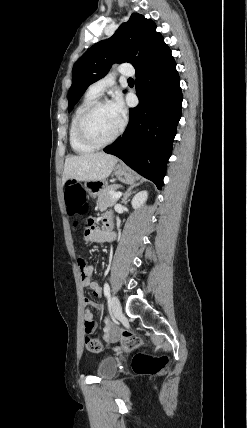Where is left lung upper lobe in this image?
Wrapping results in <instances>:
<instances>
[{"label":"left lung upper lobe","mask_w":247,"mask_h":428,"mask_svg":"<svg viewBox=\"0 0 247 428\" xmlns=\"http://www.w3.org/2000/svg\"><path fill=\"white\" fill-rule=\"evenodd\" d=\"M169 48L155 23L136 13L115 34L94 44L74 64L72 86L68 92L70 112L87 87L104 77L114 63H131L135 69Z\"/></svg>","instance_id":"5c2ea615"}]
</instances>
